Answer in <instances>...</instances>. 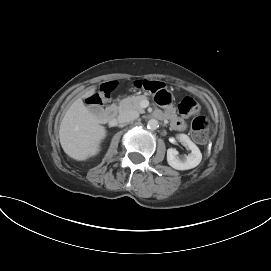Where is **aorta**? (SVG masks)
Instances as JSON below:
<instances>
[{
    "instance_id": "obj_1",
    "label": "aorta",
    "mask_w": 271,
    "mask_h": 271,
    "mask_svg": "<svg viewBox=\"0 0 271 271\" xmlns=\"http://www.w3.org/2000/svg\"><path fill=\"white\" fill-rule=\"evenodd\" d=\"M159 127L158 121L156 119H150L147 123V128L156 130Z\"/></svg>"
}]
</instances>
